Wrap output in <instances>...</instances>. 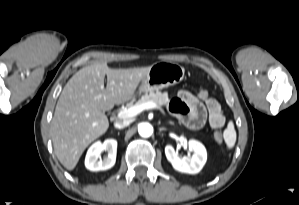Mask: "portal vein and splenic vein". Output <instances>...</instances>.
<instances>
[{"instance_id": "obj_1", "label": "portal vein and splenic vein", "mask_w": 299, "mask_h": 205, "mask_svg": "<svg viewBox=\"0 0 299 205\" xmlns=\"http://www.w3.org/2000/svg\"><path fill=\"white\" fill-rule=\"evenodd\" d=\"M158 108V105L154 102H146L143 104L135 105L132 106L128 109L121 110L117 114V118L119 119H127L136 116L137 114L141 113L144 110H149V109H156Z\"/></svg>"}]
</instances>
